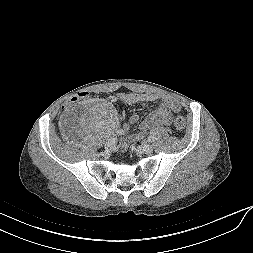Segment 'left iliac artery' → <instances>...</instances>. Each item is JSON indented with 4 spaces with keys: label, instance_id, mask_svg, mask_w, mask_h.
Masks as SVG:
<instances>
[{
    "label": "left iliac artery",
    "instance_id": "obj_1",
    "mask_svg": "<svg viewBox=\"0 0 253 253\" xmlns=\"http://www.w3.org/2000/svg\"><path fill=\"white\" fill-rule=\"evenodd\" d=\"M147 139H148V142H153L154 137L150 135V136H148V138H147Z\"/></svg>",
    "mask_w": 253,
    "mask_h": 253
}]
</instances>
